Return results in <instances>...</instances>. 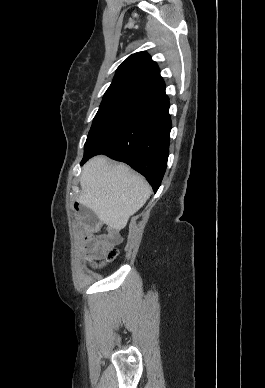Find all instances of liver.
<instances>
[{"mask_svg": "<svg viewBox=\"0 0 265 388\" xmlns=\"http://www.w3.org/2000/svg\"><path fill=\"white\" fill-rule=\"evenodd\" d=\"M77 198L98 216L109 230L120 232L152 194L148 182L125 164H111L105 156H96L85 164Z\"/></svg>", "mask_w": 265, "mask_h": 388, "instance_id": "6515ba94", "label": "liver"}]
</instances>
